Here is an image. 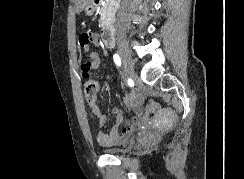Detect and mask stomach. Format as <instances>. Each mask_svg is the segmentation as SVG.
I'll return each mask as SVG.
<instances>
[{
    "label": "stomach",
    "instance_id": "1",
    "mask_svg": "<svg viewBox=\"0 0 244 179\" xmlns=\"http://www.w3.org/2000/svg\"><path fill=\"white\" fill-rule=\"evenodd\" d=\"M96 8L94 6V4H87V6H85L84 8V12H86L87 16H90V14H93V12H95Z\"/></svg>",
    "mask_w": 244,
    "mask_h": 179
}]
</instances>
